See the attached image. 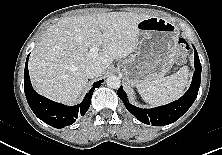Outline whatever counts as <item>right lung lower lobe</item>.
<instances>
[{
  "label": "right lung lower lobe",
  "instance_id": "1",
  "mask_svg": "<svg viewBox=\"0 0 222 155\" xmlns=\"http://www.w3.org/2000/svg\"><path fill=\"white\" fill-rule=\"evenodd\" d=\"M28 58L24 70V91L28 104L34 114L46 124L63 128L71 125L76 121L78 115H84L90 107L91 97L95 88L100 87L103 80L95 82L89 92L85 95L84 100L75 106H65L53 102L34 91L28 73Z\"/></svg>",
  "mask_w": 222,
  "mask_h": 155
}]
</instances>
